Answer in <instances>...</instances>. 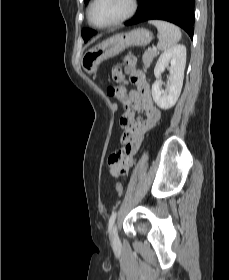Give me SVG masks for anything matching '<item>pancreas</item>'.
<instances>
[{
    "label": "pancreas",
    "mask_w": 229,
    "mask_h": 280,
    "mask_svg": "<svg viewBox=\"0 0 229 280\" xmlns=\"http://www.w3.org/2000/svg\"><path fill=\"white\" fill-rule=\"evenodd\" d=\"M158 55L157 51H152L151 49L144 52L142 60L145 67H149L153 59Z\"/></svg>",
    "instance_id": "obj_1"
}]
</instances>
